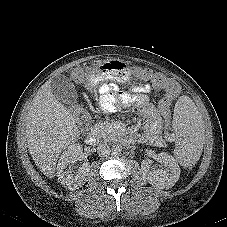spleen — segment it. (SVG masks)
<instances>
[{"label":"spleen","mask_w":227,"mask_h":227,"mask_svg":"<svg viewBox=\"0 0 227 227\" xmlns=\"http://www.w3.org/2000/svg\"><path fill=\"white\" fill-rule=\"evenodd\" d=\"M173 110L175 112V128L181 132L176 137V144L180 148H185L179 157L180 162L183 166H191L199 159L201 151L200 113L194 107L192 99L187 96L176 98L173 103Z\"/></svg>","instance_id":"3e777b00"}]
</instances>
